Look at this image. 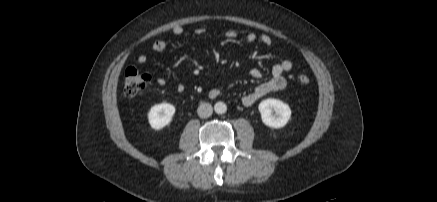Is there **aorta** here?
<instances>
[{"instance_id": "obj_1", "label": "aorta", "mask_w": 437, "mask_h": 202, "mask_svg": "<svg viewBox=\"0 0 437 202\" xmlns=\"http://www.w3.org/2000/svg\"><path fill=\"white\" fill-rule=\"evenodd\" d=\"M214 110L217 114H224L227 111V106L224 102H217L214 105Z\"/></svg>"}]
</instances>
